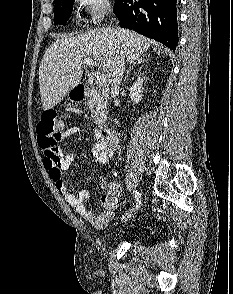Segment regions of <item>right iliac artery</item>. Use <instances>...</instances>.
I'll use <instances>...</instances> for the list:
<instances>
[{
    "label": "right iliac artery",
    "instance_id": "right-iliac-artery-1",
    "mask_svg": "<svg viewBox=\"0 0 233 294\" xmlns=\"http://www.w3.org/2000/svg\"><path fill=\"white\" fill-rule=\"evenodd\" d=\"M133 193H134V196H135V199H136V208L132 209V210H130L128 212L135 211L137 208L140 207L141 202H142V197H141L140 193L137 190H134Z\"/></svg>",
    "mask_w": 233,
    "mask_h": 294
}]
</instances>
